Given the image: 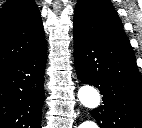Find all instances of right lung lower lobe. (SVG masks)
Here are the masks:
<instances>
[{"mask_svg":"<svg viewBox=\"0 0 142 128\" xmlns=\"http://www.w3.org/2000/svg\"><path fill=\"white\" fill-rule=\"evenodd\" d=\"M47 46L0 70V128H40Z\"/></svg>","mask_w":142,"mask_h":128,"instance_id":"98d812e1","label":"right lung lower lobe"}]
</instances>
